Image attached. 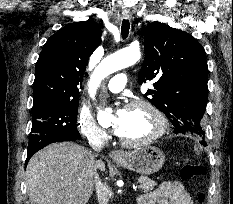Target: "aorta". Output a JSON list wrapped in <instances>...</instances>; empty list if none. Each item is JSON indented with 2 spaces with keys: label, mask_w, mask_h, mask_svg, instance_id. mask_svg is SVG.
<instances>
[{
  "label": "aorta",
  "mask_w": 233,
  "mask_h": 204,
  "mask_svg": "<svg viewBox=\"0 0 233 204\" xmlns=\"http://www.w3.org/2000/svg\"><path fill=\"white\" fill-rule=\"evenodd\" d=\"M140 57L141 53L138 49L127 48L104 58L90 78L88 85L90 96L94 98L96 90L104 78L118 70L135 64ZM111 112L112 110L109 108L106 110L99 109L97 113L99 124L104 125L109 123Z\"/></svg>",
  "instance_id": "aorta-1"
}]
</instances>
